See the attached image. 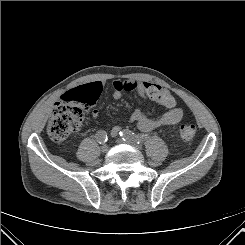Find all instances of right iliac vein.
Returning <instances> with one entry per match:
<instances>
[{"mask_svg":"<svg viewBox=\"0 0 245 245\" xmlns=\"http://www.w3.org/2000/svg\"><path fill=\"white\" fill-rule=\"evenodd\" d=\"M108 149H109V147H108V145H106V144L102 145V147H101V151H102L103 153H106V152L108 151Z\"/></svg>","mask_w":245,"mask_h":245,"instance_id":"obj_1","label":"right iliac vein"}]
</instances>
